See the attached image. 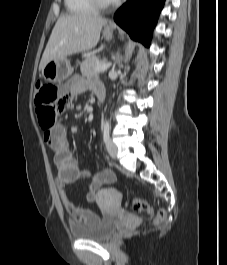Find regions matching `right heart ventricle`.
<instances>
[{"mask_svg": "<svg viewBox=\"0 0 227 265\" xmlns=\"http://www.w3.org/2000/svg\"><path fill=\"white\" fill-rule=\"evenodd\" d=\"M66 10L73 15L89 14L95 11L90 0H64Z\"/></svg>", "mask_w": 227, "mask_h": 265, "instance_id": "obj_1", "label": "right heart ventricle"}]
</instances>
